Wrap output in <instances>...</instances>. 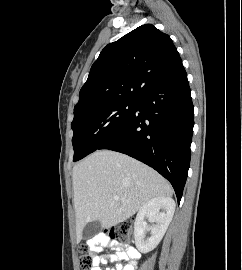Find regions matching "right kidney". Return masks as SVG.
Listing matches in <instances>:
<instances>
[{"mask_svg":"<svg viewBox=\"0 0 242 270\" xmlns=\"http://www.w3.org/2000/svg\"><path fill=\"white\" fill-rule=\"evenodd\" d=\"M160 210H162L160 212ZM175 211V202L170 197H155L147 201L138 211L134 222V238L138 250L147 253L160 243ZM145 218L153 224L147 225ZM151 231V236L146 237V232Z\"/></svg>","mask_w":242,"mask_h":270,"instance_id":"ca27d5eb","label":"right kidney"}]
</instances>
